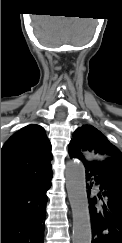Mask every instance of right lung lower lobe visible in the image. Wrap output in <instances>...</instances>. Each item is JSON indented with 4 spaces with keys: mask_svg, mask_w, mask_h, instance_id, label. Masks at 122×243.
Returning <instances> with one entry per match:
<instances>
[{
    "mask_svg": "<svg viewBox=\"0 0 122 243\" xmlns=\"http://www.w3.org/2000/svg\"><path fill=\"white\" fill-rule=\"evenodd\" d=\"M52 171L1 191V243H44Z\"/></svg>",
    "mask_w": 122,
    "mask_h": 243,
    "instance_id": "obj_1",
    "label": "right lung lower lobe"
}]
</instances>
